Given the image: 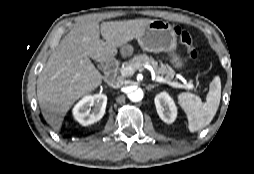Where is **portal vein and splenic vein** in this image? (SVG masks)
I'll return each mask as SVG.
<instances>
[{
	"mask_svg": "<svg viewBox=\"0 0 254 174\" xmlns=\"http://www.w3.org/2000/svg\"><path fill=\"white\" fill-rule=\"evenodd\" d=\"M135 70H136L135 67L128 66V67L122 68L120 73L123 77L132 76L135 73ZM155 80L159 83L167 84V85L172 86L174 88H185V89H193L194 88V85L191 83L181 84L179 82L167 80L161 76H156Z\"/></svg>",
	"mask_w": 254,
	"mask_h": 174,
	"instance_id": "portal-vein-and-splenic-vein-1",
	"label": "portal vein and splenic vein"
}]
</instances>
